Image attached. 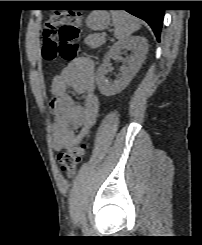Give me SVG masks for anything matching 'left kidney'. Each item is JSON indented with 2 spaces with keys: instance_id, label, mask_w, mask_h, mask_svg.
<instances>
[{
  "instance_id": "5707ae66",
  "label": "left kidney",
  "mask_w": 202,
  "mask_h": 245,
  "mask_svg": "<svg viewBox=\"0 0 202 245\" xmlns=\"http://www.w3.org/2000/svg\"><path fill=\"white\" fill-rule=\"evenodd\" d=\"M129 49L133 51L127 64L121 67V77L110 82L106 79L109 58L117 56L121 50ZM148 52L147 39L140 36H133L128 39L116 42L105 57L103 64L98 68L96 82L98 88L104 96H112L120 93L131 82L133 77L141 68Z\"/></svg>"
}]
</instances>
